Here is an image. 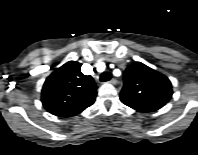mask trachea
Returning a JSON list of instances; mask_svg holds the SVG:
<instances>
[{"instance_id": "1", "label": "trachea", "mask_w": 198, "mask_h": 155, "mask_svg": "<svg viewBox=\"0 0 198 155\" xmlns=\"http://www.w3.org/2000/svg\"><path fill=\"white\" fill-rule=\"evenodd\" d=\"M111 79V73L110 72H104L100 75V81L101 82H106Z\"/></svg>"}]
</instances>
